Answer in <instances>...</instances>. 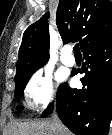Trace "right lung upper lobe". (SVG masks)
Returning <instances> with one entry per match:
<instances>
[{
	"label": "right lung upper lobe",
	"instance_id": "1",
	"mask_svg": "<svg viewBox=\"0 0 112 135\" xmlns=\"http://www.w3.org/2000/svg\"><path fill=\"white\" fill-rule=\"evenodd\" d=\"M47 12L23 34L16 76L34 73L49 59ZM56 24L63 42L75 39L81 50L112 37V2L109 0H60Z\"/></svg>",
	"mask_w": 112,
	"mask_h": 135
}]
</instances>
